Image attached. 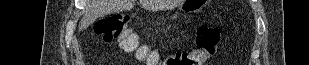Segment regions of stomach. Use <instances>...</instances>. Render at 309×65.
Listing matches in <instances>:
<instances>
[{
  "instance_id": "0dacf381",
  "label": "stomach",
  "mask_w": 309,
  "mask_h": 65,
  "mask_svg": "<svg viewBox=\"0 0 309 65\" xmlns=\"http://www.w3.org/2000/svg\"><path fill=\"white\" fill-rule=\"evenodd\" d=\"M200 2H205V1L187 0L185 4L183 5L182 10L190 11V12L196 11L199 7H195V6L198 5Z\"/></svg>"
}]
</instances>
